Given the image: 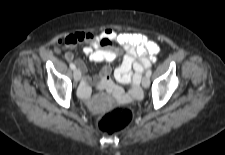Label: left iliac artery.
Wrapping results in <instances>:
<instances>
[{
  "label": "left iliac artery",
  "instance_id": "1",
  "mask_svg": "<svg viewBox=\"0 0 225 155\" xmlns=\"http://www.w3.org/2000/svg\"><path fill=\"white\" fill-rule=\"evenodd\" d=\"M151 74H152V70H151V69H149V70L146 72V75H147L148 77H150V76H151Z\"/></svg>",
  "mask_w": 225,
  "mask_h": 155
}]
</instances>
